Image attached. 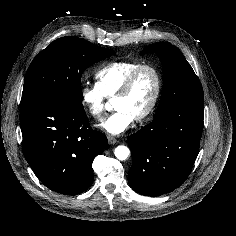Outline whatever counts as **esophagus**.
Segmentation results:
<instances>
[{
	"label": "esophagus",
	"instance_id": "34e87169",
	"mask_svg": "<svg viewBox=\"0 0 236 236\" xmlns=\"http://www.w3.org/2000/svg\"><path fill=\"white\" fill-rule=\"evenodd\" d=\"M117 142V139L113 136H108V143L109 144H115Z\"/></svg>",
	"mask_w": 236,
	"mask_h": 236
}]
</instances>
